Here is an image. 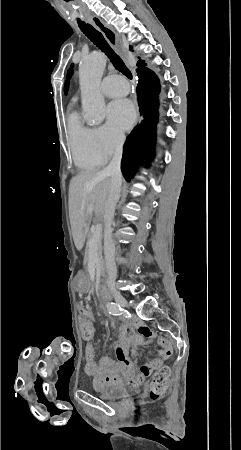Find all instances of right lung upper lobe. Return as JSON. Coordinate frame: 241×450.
I'll return each instance as SVG.
<instances>
[{
    "label": "right lung upper lobe",
    "mask_w": 241,
    "mask_h": 450,
    "mask_svg": "<svg viewBox=\"0 0 241 450\" xmlns=\"http://www.w3.org/2000/svg\"><path fill=\"white\" fill-rule=\"evenodd\" d=\"M131 49V48H130ZM144 61H138V63L137 64H140V63H143Z\"/></svg>",
    "instance_id": "right-lung-upper-lobe-1"
}]
</instances>
